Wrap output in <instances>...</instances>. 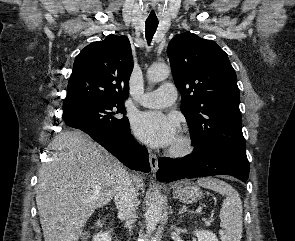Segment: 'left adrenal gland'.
<instances>
[{
	"label": "left adrenal gland",
	"mask_w": 295,
	"mask_h": 241,
	"mask_svg": "<svg viewBox=\"0 0 295 241\" xmlns=\"http://www.w3.org/2000/svg\"><path fill=\"white\" fill-rule=\"evenodd\" d=\"M184 212H191V210H188L187 206L183 205L178 214H183Z\"/></svg>",
	"instance_id": "left-adrenal-gland-1"
}]
</instances>
